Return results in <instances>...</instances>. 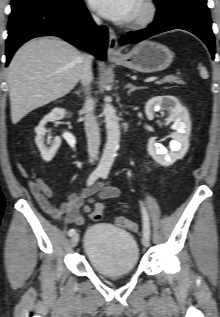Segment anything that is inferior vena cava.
Here are the masks:
<instances>
[{
	"label": "inferior vena cava",
	"mask_w": 220,
	"mask_h": 317,
	"mask_svg": "<svg viewBox=\"0 0 220 317\" xmlns=\"http://www.w3.org/2000/svg\"><path fill=\"white\" fill-rule=\"evenodd\" d=\"M95 22L99 25L100 19L94 17ZM83 66L80 75V80L83 86L89 91V85L93 80L92 74V55L86 54L83 56ZM94 101L88 96L85 101L83 112L85 113V131L87 136V146H88V154L89 161L93 162L96 160L100 145V133L99 127L94 116Z\"/></svg>",
	"instance_id": "602c4592"
}]
</instances>
